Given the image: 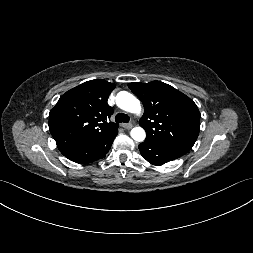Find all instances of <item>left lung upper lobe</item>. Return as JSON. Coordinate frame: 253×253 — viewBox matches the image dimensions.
Returning <instances> with one entry per match:
<instances>
[{"mask_svg": "<svg viewBox=\"0 0 253 253\" xmlns=\"http://www.w3.org/2000/svg\"><path fill=\"white\" fill-rule=\"evenodd\" d=\"M128 87L144 105L140 126L146 140L190 151L200 131L201 115L194 101L160 81Z\"/></svg>", "mask_w": 253, "mask_h": 253, "instance_id": "obj_1", "label": "left lung upper lobe"}]
</instances>
